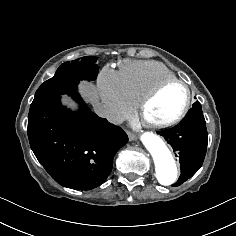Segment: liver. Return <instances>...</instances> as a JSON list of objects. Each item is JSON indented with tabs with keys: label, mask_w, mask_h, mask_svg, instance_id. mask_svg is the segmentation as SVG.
<instances>
[{
	"label": "liver",
	"mask_w": 236,
	"mask_h": 236,
	"mask_svg": "<svg viewBox=\"0 0 236 236\" xmlns=\"http://www.w3.org/2000/svg\"><path fill=\"white\" fill-rule=\"evenodd\" d=\"M81 93L89 102L94 103L97 101V95L93 85L83 84L81 87Z\"/></svg>",
	"instance_id": "6515ba94"
}]
</instances>
